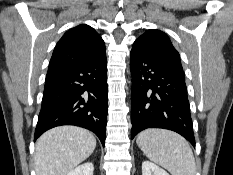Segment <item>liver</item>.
Listing matches in <instances>:
<instances>
[{
    "mask_svg": "<svg viewBox=\"0 0 233 175\" xmlns=\"http://www.w3.org/2000/svg\"><path fill=\"white\" fill-rule=\"evenodd\" d=\"M96 147L94 135L76 126H59L45 132L36 143V175H67Z\"/></svg>",
    "mask_w": 233,
    "mask_h": 175,
    "instance_id": "obj_1",
    "label": "liver"
}]
</instances>
